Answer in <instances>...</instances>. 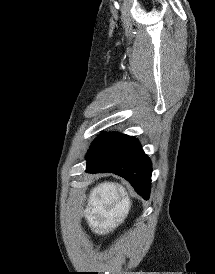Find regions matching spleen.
Segmentation results:
<instances>
[{"mask_svg":"<svg viewBox=\"0 0 215 274\" xmlns=\"http://www.w3.org/2000/svg\"><path fill=\"white\" fill-rule=\"evenodd\" d=\"M90 201L96 217L104 220L103 224L92 221L91 224L98 229H106L109 223L129 211L130 199L121 185L114 183H103L93 189Z\"/></svg>","mask_w":215,"mask_h":274,"instance_id":"obj_1","label":"spleen"}]
</instances>
